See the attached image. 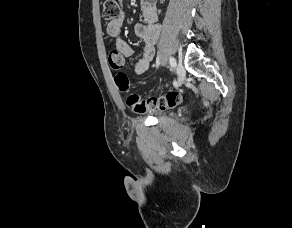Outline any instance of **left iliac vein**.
<instances>
[{
    "label": "left iliac vein",
    "mask_w": 292,
    "mask_h": 228,
    "mask_svg": "<svg viewBox=\"0 0 292 228\" xmlns=\"http://www.w3.org/2000/svg\"><path fill=\"white\" fill-rule=\"evenodd\" d=\"M176 71H177L178 82L181 84L185 79V75H186L185 68L181 63H179L177 65Z\"/></svg>",
    "instance_id": "1"
}]
</instances>
